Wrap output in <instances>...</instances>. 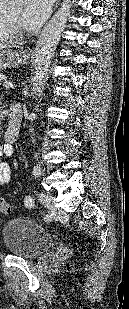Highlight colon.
<instances>
[{"instance_id": "obj_1", "label": "colon", "mask_w": 129, "mask_h": 309, "mask_svg": "<svg viewBox=\"0 0 129 309\" xmlns=\"http://www.w3.org/2000/svg\"><path fill=\"white\" fill-rule=\"evenodd\" d=\"M12 204L5 201V200H0V213L2 214H8L12 211Z\"/></svg>"}]
</instances>
